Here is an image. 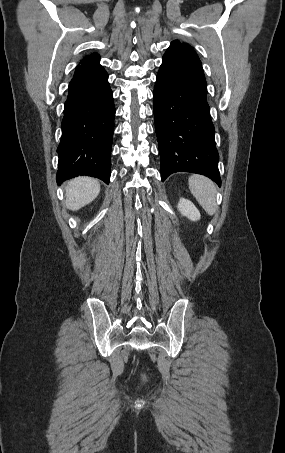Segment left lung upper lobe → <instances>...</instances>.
Listing matches in <instances>:
<instances>
[{
    "label": "left lung upper lobe",
    "mask_w": 285,
    "mask_h": 453,
    "mask_svg": "<svg viewBox=\"0 0 285 453\" xmlns=\"http://www.w3.org/2000/svg\"><path fill=\"white\" fill-rule=\"evenodd\" d=\"M172 44H183V45H188V46H190V45L187 44V43H181L179 40H174V41H172Z\"/></svg>",
    "instance_id": "obj_1"
}]
</instances>
